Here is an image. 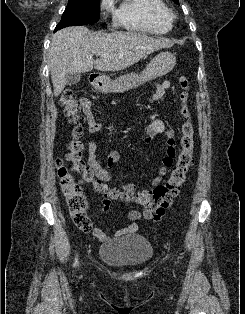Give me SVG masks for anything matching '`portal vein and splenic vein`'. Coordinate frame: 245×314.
<instances>
[{
  "instance_id": "portal-vein-and-splenic-vein-1",
  "label": "portal vein and splenic vein",
  "mask_w": 245,
  "mask_h": 314,
  "mask_svg": "<svg viewBox=\"0 0 245 314\" xmlns=\"http://www.w3.org/2000/svg\"><path fill=\"white\" fill-rule=\"evenodd\" d=\"M97 54H98V55H104L102 52H98Z\"/></svg>"
}]
</instances>
